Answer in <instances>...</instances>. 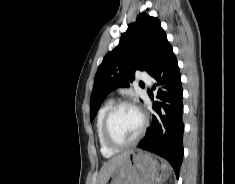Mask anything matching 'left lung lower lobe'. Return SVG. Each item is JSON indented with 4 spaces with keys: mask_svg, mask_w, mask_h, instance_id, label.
I'll return each mask as SVG.
<instances>
[{
    "mask_svg": "<svg viewBox=\"0 0 235 184\" xmlns=\"http://www.w3.org/2000/svg\"><path fill=\"white\" fill-rule=\"evenodd\" d=\"M156 83L158 101L153 103L151 126L139 148L165 158L178 175L183 161L182 87L180 70L172 46L165 39L148 73Z\"/></svg>",
    "mask_w": 235,
    "mask_h": 184,
    "instance_id": "1",
    "label": "left lung lower lobe"
}]
</instances>
